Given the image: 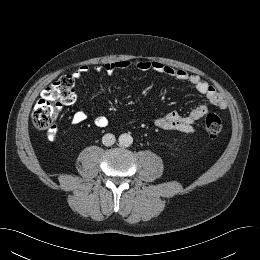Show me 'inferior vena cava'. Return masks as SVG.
Returning a JSON list of instances; mask_svg holds the SVG:
<instances>
[{
    "label": "inferior vena cava",
    "instance_id": "inferior-vena-cava-1",
    "mask_svg": "<svg viewBox=\"0 0 260 260\" xmlns=\"http://www.w3.org/2000/svg\"><path fill=\"white\" fill-rule=\"evenodd\" d=\"M116 141V138L113 134L107 133L102 137V143L105 146H112Z\"/></svg>",
    "mask_w": 260,
    "mask_h": 260
}]
</instances>
